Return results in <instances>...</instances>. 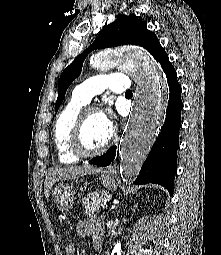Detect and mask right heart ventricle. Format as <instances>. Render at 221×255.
I'll return each mask as SVG.
<instances>
[{
	"label": "right heart ventricle",
	"instance_id": "obj_1",
	"mask_svg": "<svg viewBox=\"0 0 221 255\" xmlns=\"http://www.w3.org/2000/svg\"><path fill=\"white\" fill-rule=\"evenodd\" d=\"M82 104L70 101L59 113L53 127V141L58 158L63 164H75L80 157L71 147L74 126L81 114Z\"/></svg>",
	"mask_w": 221,
	"mask_h": 255
}]
</instances>
